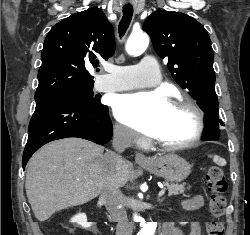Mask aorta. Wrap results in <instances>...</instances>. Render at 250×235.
<instances>
[{
    "label": "aorta",
    "mask_w": 250,
    "mask_h": 235,
    "mask_svg": "<svg viewBox=\"0 0 250 235\" xmlns=\"http://www.w3.org/2000/svg\"><path fill=\"white\" fill-rule=\"evenodd\" d=\"M149 44V38L147 35L144 34H132L126 44V51L130 55H134L136 53H142L146 50ZM135 222L143 223L142 228L138 232L137 235H154L157 227L156 222H147L145 223L143 218L134 215Z\"/></svg>",
    "instance_id": "762f6f07"
}]
</instances>
